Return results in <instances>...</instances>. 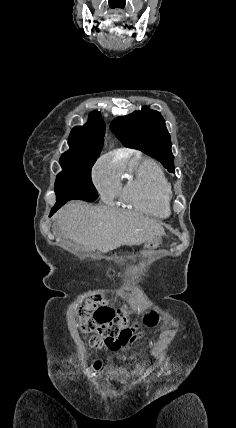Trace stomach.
<instances>
[{
  "mask_svg": "<svg viewBox=\"0 0 236 428\" xmlns=\"http://www.w3.org/2000/svg\"><path fill=\"white\" fill-rule=\"evenodd\" d=\"M161 242V238H154L152 242H146L145 248H157Z\"/></svg>",
  "mask_w": 236,
  "mask_h": 428,
  "instance_id": "0dacf381",
  "label": "stomach"
}]
</instances>
